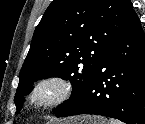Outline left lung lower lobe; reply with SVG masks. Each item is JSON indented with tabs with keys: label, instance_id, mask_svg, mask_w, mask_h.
Masks as SVG:
<instances>
[{
	"label": "left lung lower lobe",
	"instance_id": "0a47b994",
	"mask_svg": "<svg viewBox=\"0 0 145 124\" xmlns=\"http://www.w3.org/2000/svg\"><path fill=\"white\" fill-rule=\"evenodd\" d=\"M79 114L145 124V35L135 12L83 92L55 116Z\"/></svg>",
	"mask_w": 145,
	"mask_h": 124
}]
</instances>
